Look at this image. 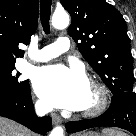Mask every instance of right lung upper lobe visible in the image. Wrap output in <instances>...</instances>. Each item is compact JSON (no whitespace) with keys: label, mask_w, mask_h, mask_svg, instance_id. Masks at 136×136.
Wrapping results in <instances>:
<instances>
[{"label":"right lung upper lobe","mask_w":136,"mask_h":136,"mask_svg":"<svg viewBox=\"0 0 136 136\" xmlns=\"http://www.w3.org/2000/svg\"><path fill=\"white\" fill-rule=\"evenodd\" d=\"M38 0H0V64L23 57L19 43L29 44L38 23Z\"/></svg>","instance_id":"1"}]
</instances>
